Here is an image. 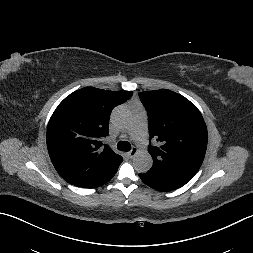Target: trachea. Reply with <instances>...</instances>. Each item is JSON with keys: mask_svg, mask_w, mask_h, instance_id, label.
Returning a JSON list of instances; mask_svg holds the SVG:
<instances>
[{"mask_svg": "<svg viewBox=\"0 0 253 253\" xmlns=\"http://www.w3.org/2000/svg\"><path fill=\"white\" fill-rule=\"evenodd\" d=\"M117 148L120 151H130L131 150V145L127 141H120L117 144Z\"/></svg>", "mask_w": 253, "mask_h": 253, "instance_id": "1", "label": "trachea"}]
</instances>
